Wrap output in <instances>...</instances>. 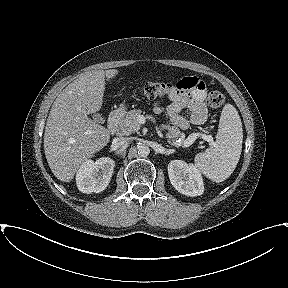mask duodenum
I'll return each instance as SVG.
<instances>
[{"instance_id":"1","label":"duodenum","mask_w":288,"mask_h":288,"mask_svg":"<svg viewBox=\"0 0 288 288\" xmlns=\"http://www.w3.org/2000/svg\"><path fill=\"white\" fill-rule=\"evenodd\" d=\"M123 111L121 109L113 110L108 118L107 127L110 132L114 133L117 130L118 123L122 117Z\"/></svg>"}]
</instances>
